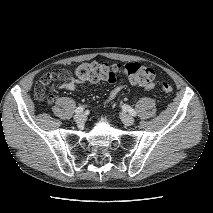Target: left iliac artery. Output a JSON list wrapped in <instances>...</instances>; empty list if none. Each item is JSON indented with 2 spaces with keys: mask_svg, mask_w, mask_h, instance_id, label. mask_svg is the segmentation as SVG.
<instances>
[{
  "mask_svg": "<svg viewBox=\"0 0 213 213\" xmlns=\"http://www.w3.org/2000/svg\"><path fill=\"white\" fill-rule=\"evenodd\" d=\"M123 108L129 112L130 115L136 116V111L128 105H124Z\"/></svg>",
  "mask_w": 213,
  "mask_h": 213,
  "instance_id": "left-iliac-artery-1",
  "label": "left iliac artery"
}]
</instances>
